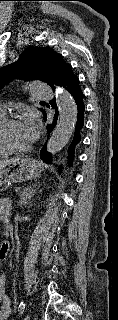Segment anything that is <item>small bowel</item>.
Wrapping results in <instances>:
<instances>
[{"mask_svg":"<svg viewBox=\"0 0 118 320\" xmlns=\"http://www.w3.org/2000/svg\"><path fill=\"white\" fill-rule=\"evenodd\" d=\"M10 206L11 202L8 198H0V216L7 215ZM7 248V245H2L0 253H5ZM6 280V275H0V320H7L11 312L10 299L5 290Z\"/></svg>","mask_w":118,"mask_h":320,"instance_id":"1","label":"small bowel"}]
</instances>
